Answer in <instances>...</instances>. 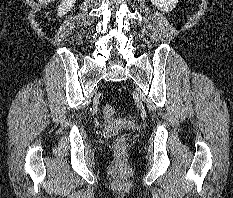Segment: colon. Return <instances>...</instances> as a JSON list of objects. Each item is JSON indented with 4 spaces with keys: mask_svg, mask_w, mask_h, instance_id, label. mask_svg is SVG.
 Here are the masks:
<instances>
[{
    "mask_svg": "<svg viewBox=\"0 0 233 198\" xmlns=\"http://www.w3.org/2000/svg\"><path fill=\"white\" fill-rule=\"evenodd\" d=\"M102 112L105 117H112L115 114V109L110 104H105L102 107ZM127 147L126 138L124 136H119L114 142V149L119 158H121Z\"/></svg>",
    "mask_w": 233,
    "mask_h": 198,
    "instance_id": "obj_1",
    "label": "colon"
}]
</instances>
